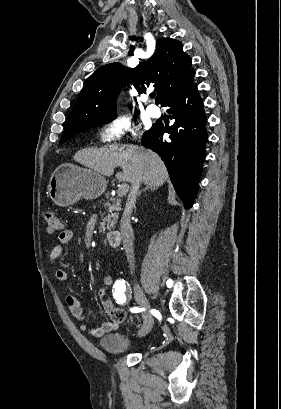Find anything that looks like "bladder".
Returning <instances> with one entry per match:
<instances>
[{
	"instance_id": "31cf9c89",
	"label": "bladder",
	"mask_w": 281,
	"mask_h": 409,
	"mask_svg": "<svg viewBox=\"0 0 281 409\" xmlns=\"http://www.w3.org/2000/svg\"><path fill=\"white\" fill-rule=\"evenodd\" d=\"M98 347L106 354H123L134 350L136 342L125 331L119 330L112 331L108 335H101L98 339Z\"/></svg>"
}]
</instances>
